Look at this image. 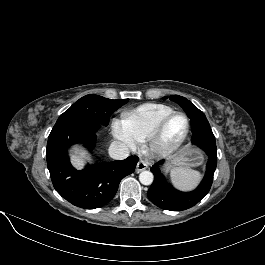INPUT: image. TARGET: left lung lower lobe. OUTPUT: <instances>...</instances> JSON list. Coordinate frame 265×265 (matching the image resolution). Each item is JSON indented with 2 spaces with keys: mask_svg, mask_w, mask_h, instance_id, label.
<instances>
[{
  "mask_svg": "<svg viewBox=\"0 0 265 265\" xmlns=\"http://www.w3.org/2000/svg\"><path fill=\"white\" fill-rule=\"evenodd\" d=\"M191 142L200 147L208 155L205 176L200 185L191 192H181L167 183L160 171L165 160H161L151 167L154 174V182L147 192V196L156 206L170 210L181 211L196 205L209 192L213 175L217 166V147L215 136L210 125H202L192 129Z\"/></svg>",
  "mask_w": 265,
  "mask_h": 265,
  "instance_id": "obj_1",
  "label": "left lung lower lobe"
}]
</instances>
